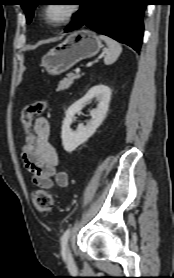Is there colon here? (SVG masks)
Instances as JSON below:
<instances>
[{"instance_id": "5ec220e1", "label": "colon", "mask_w": 174, "mask_h": 278, "mask_svg": "<svg viewBox=\"0 0 174 278\" xmlns=\"http://www.w3.org/2000/svg\"><path fill=\"white\" fill-rule=\"evenodd\" d=\"M47 103L45 101H37L23 109L22 123L25 129V139L21 147V155L31 154L37 145L36 136L32 130V119L45 111ZM33 203L40 212H49L53 207V196L45 189H37L32 195Z\"/></svg>"}]
</instances>
